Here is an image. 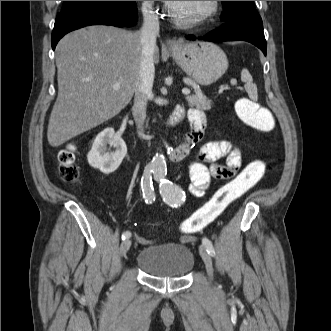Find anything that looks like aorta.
Returning a JSON list of instances; mask_svg holds the SVG:
<instances>
[{"mask_svg": "<svg viewBox=\"0 0 331 331\" xmlns=\"http://www.w3.org/2000/svg\"><path fill=\"white\" fill-rule=\"evenodd\" d=\"M150 168L153 171L155 178H164L167 167H166V160L163 154L157 153L151 163Z\"/></svg>", "mask_w": 331, "mask_h": 331, "instance_id": "1", "label": "aorta"}]
</instances>
